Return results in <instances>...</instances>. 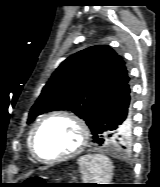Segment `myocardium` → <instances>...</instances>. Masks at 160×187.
Masks as SVG:
<instances>
[{"instance_id":"myocardium-1","label":"myocardium","mask_w":160,"mask_h":187,"mask_svg":"<svg viewBox=\"0 0 160 187\" xmlns=\"http://www.w3.org/2000/svg\"><path fill=\"white\" fill-rule=\"evenodd\" d=\"M53 117H65L69 120H71L78 128L79 134H80V140L77 147H75L71 152L62 155L60 157L54 158V159H43L37 149H36V137L37 134L41 128V126L50 118ZM90 138V129L86 121L78 114L72 111L67 110H58L50 112L46 115H44L33 127L31 136H30V150L32 155L41 163L43 164H56L62 161H65L67 159L73 158L80 154L85 147L87 146Z\"/></svg>"}]
</instances>
